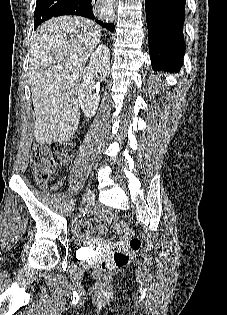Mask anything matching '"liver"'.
I'll return each instance as SVG.
<instances>
[{
  "label": "liver",
  "instance_id": "6515ba94",
  "mask_svg": "<svg viewBox=\"0 0 227 315\" xmlns=\"http://www.w3.org/2000/svg\"><path fill=\"white\" fill-rule=\"evenodd\" d=\"M101 34L99 25L77 16L50 19L36 30L28 71L38 143L62 142L77 130L80 81Z\"/></svg>",
  "mask_w": 227,
  "mask_h": 315
}]
</instances>
